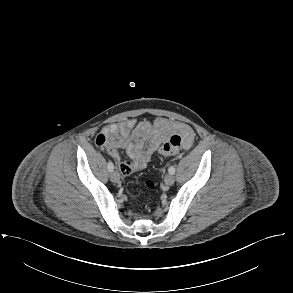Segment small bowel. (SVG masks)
<instances>
[{
	"label": "small bowel",
	"mask_w": 293,
	"mask_h": 293,
	"mask_svg": "<svg viewBox=\"0 0 293 293\" xmlns=\"http://www.w3.org/2000/svg\"><path fill=\"white\" fill-rule=\"evenodd\" d=\"M171 134L182 137L184 148L191 147L195 138L193 129L182 122L163 117L153 122L129 118L106 125L96 136L95 143L115 160L121 174L129 175L144 169ZM120 151H124L130 161L123 160Z\"/></svg>",
	"instance_id": "c3829d8e"
}]
</instances>
